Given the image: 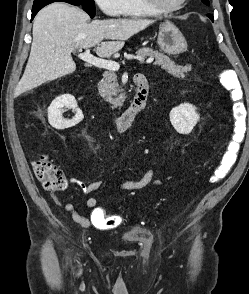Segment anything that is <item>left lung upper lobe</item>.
<instances>
[{"instance_id": "left-lung-upper-lobe-1", "label": "left lung upper lobe", "mask_w": 249, "mask_h": 294, "mask_svg": "<svg viewBox=\"0 0 249 294\" xmlns=\"http://www.w3.org/2000/svg\"><path fill=\"white\" fill-rule=\"evenodd\" d=\"M201 1L208 6L210 5L209 0H201Z\"/></svg>"}]
</instances>
